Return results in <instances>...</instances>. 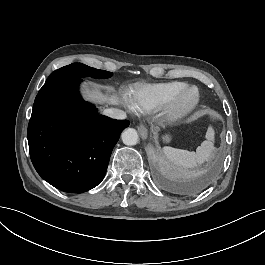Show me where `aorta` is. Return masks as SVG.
Segmentation results:
<instances>
[{"label":"aorta","instance_id":"762f6f07","mask_svg":"<svg viewBox=\"0 0 265 265\" xmlns=\"http://www.w3.org/2000/svg\"><path fill=\"white\" fill-rule=\"evenodd\" d=\"M122 141L125 145H136L138 143V133L133 128H127L122 132Z\"/></svg>","mask_w":265,"mask_h":265}]
</instances>
